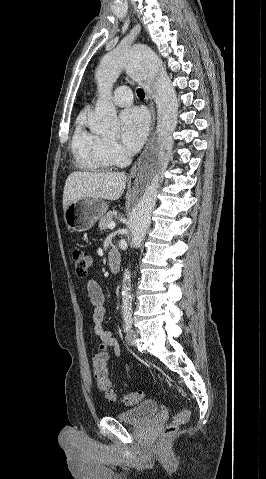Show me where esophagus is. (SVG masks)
Returning a JSON list of instances; mask_svg holds the SVG:
<instances>
[{
    "label": "esophagus",
    "instance_id": "1",
    "mask_svg": "<svg viewBox=\"0 0 266 479\" xmlns=\"http://www.w3.org/2000/svg\"><path fill=\"white\" fill-rule=\"evenodd\" d=\"M146 101H147V104L149 106V109H150V115H151V135L149 137V140L143 150V152L141 153V155L139 156V158L137 159V161L134 163V165L132 166L131 168V171H130V175L132 177H134L140 167H141V164L146 156V153L148 151V148L150 146V143H151V139H152V135H153V131H154V127H155V121H156V113H155V108H154V104H153V101L150 97V95L148 93H146Z\"/></svg>",
    "mask_w": 266,
    "mask_h": 479
}]
</instances>
